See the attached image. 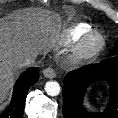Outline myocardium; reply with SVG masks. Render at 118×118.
I'll use <instances>...</instances> for the list:
<instances>
[{
  "label": "myocardium",
  "mask_w": 118,
  "mask_h": 118,
  "mask_svg": "<svg viewBox=\"0 0 118 118\" xmlns=\"http://www.w3.org/2000/svg\"><path fill=\"white\" fill-rule=\"evenodd\" d=\"M105 46V36L97 30H91L77 41L73 51V60L77 63L91 61L102 53Z\"/></svg>",
  "instance_id": "f54148a6"
}]
</instances>
